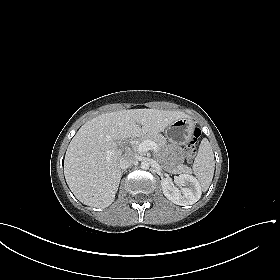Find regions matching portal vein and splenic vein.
<instances>
[{
	"label": "portal vein and splenic vein",
	"instance_id": "18ae733b",
	"mask_svg": "<svg viewBox=\"0 0 280 280\" xmlns=\"http://www.w3.org/2000/svg\"><path fill=\"white\" fill-rule=\"evenodd\" d=\"M157 149H158V145L151 140H145L144 142L140 143L135 148V150L138 151L139 153H144V152H147L149 150L157 151ZM111 154H112V152L108 151L107 161H109V158H110Z\"/></svg>",
	"mask_w": 280,
	"mask_h": 280
}]
</instances>
